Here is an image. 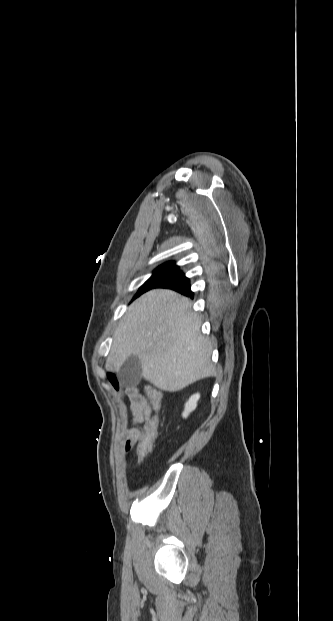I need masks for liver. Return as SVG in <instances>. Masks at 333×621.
Segmentation results:
<instances>
[{
  "label": "liver",
  "mask_w": 333,
  "mask_h": 621,
  "mask_svg": "<svg viewBox=\"0 0 333 621\" xmlns=\"http://www.w3.org/2000/svg\"><path fill=\"white\" fill-rule=\"evenodd\" d=\"M189 299L154 289L138 298L121 319L106 367L119 371L131 355L142 376L163 391L175 392L214 373L212 345L200 332Z\"/></svg>",
  "instance_id": "liver-1"
}]
</instances>
